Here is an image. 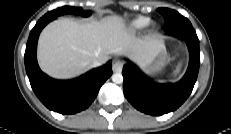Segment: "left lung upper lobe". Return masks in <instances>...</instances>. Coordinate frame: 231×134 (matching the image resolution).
<instances>
[{
	"mask_svg": "<svg viewBox=\"0 0 231 134\" xmlns=\"http://www.w3.org/2000/svg\"><path fill=\"white\" fill-rule=\"evenodd\" d=\"M158 12L165 19L164 28L166 32L180 25L191 24L187 18L183 17L182 15H180L178 12L174 10L167 9V8H159Z\"/></svg>",
	"mask_w": 231,
	"mask_h": 134,
	"instance_id": "left-lung-upper-lobe-1",
	"label": "left lung upper lobe"
}]
</instances>
